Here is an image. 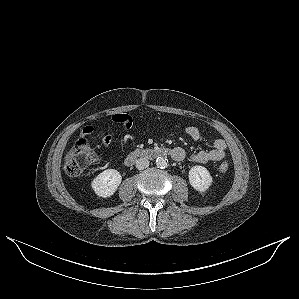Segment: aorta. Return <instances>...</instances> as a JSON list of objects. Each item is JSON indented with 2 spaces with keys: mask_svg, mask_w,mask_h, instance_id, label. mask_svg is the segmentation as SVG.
<instances>
[{
  "mask_svg": "<svg viewBox=\"0 0 299 299\" xmlns=\"http://www.w3.org/2000/svg\"><path fill=\"white\" fill-rule=\"evenodd\" d=\"M156 165L158 168H165L167 166V159L164 157H158L156 159Z\"/></svg>",
  "mask_w": 299,
  "mask_h": 299,
  "instance_id": "1",
  "label": "aorta"
}]
</instances>
